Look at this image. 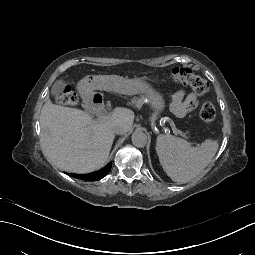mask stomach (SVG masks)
I'll use <instances>...</instances> for the list:
<instances>
[{"mask_svg":"<svg viewBox=\"0 0 255 255\" xmlns=\"http://www.w3.org/2000/svg\"><path fill=\"white\" fill-rule=\"evenodd\" d=\"M108 87L113 92L120 90L121 93L127 95L141 94L144 96L148 108L156 115L161 114L165 108V101L153 93V87L146 78L136 76L132 79H123L121 82L113 79L109 82Z\"/></svg>","mask_w":255,"mask_h":255,"instance_id":"1","label":"stomach"}]
</instances>
